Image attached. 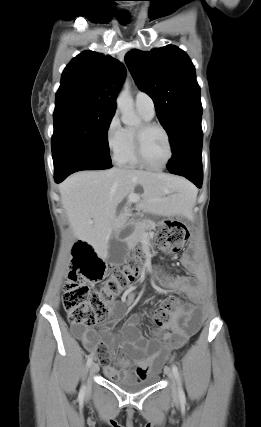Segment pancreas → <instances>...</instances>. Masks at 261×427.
<instances>
[{
	"mask_svg": "<svg viewBox=\"0 0 261 427\" xmlns=\"http://www.w3.org/2000/svg\"><path fill=\"white\" fill-rule=\"evenodd\" d=\"M151 229H153V226L149 225L147 220L139 223L134 233L135 240L140 241L143 237L152 235V232L150 231Z\"/></svg>",
	"mask_w": 261,
	"mask_h": 427,
	"instance_id": "1",
	"label": "pancreas"
}]
</instances>
